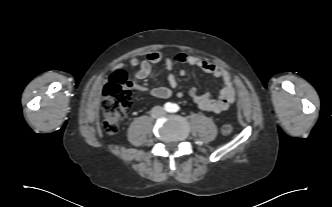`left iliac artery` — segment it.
Returning <instances> with one entry per match:
<instances>
[{
  "mask_svg": "<svg viewBox=\"0 0 332 207\" xmlns=\"http://www.w3.org/2000/svg\"><path fill=\"white\" fill-rule=\"evenodd\" d=\"M180 107L177 104H172L171 106V112H177L179 111Z\"/></svg>",
  "mask_w": 332,
  "mask_h": 207,
  "instance_id": "left-iliac-artery-1",
  "label": "left iliac artery"
}]
</instances>
